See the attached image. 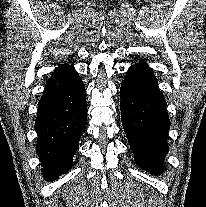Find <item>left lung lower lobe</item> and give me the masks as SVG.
<instances>
[{
    "label": "left lung lower lobe",
    "mask_w": 206,
    "mask_h": 207,
    "mask_svg": "<svg viewBox=\"0 0 206 207\" xmlns=\"http://www.w3.org/2000/svg\"><path fill=\"white\" fill-rule=\"evenodd\" d=\"M121 121L136 163L153 174L163 171L170 121L166 101L144 62L131 66L121 85Z\"/></svg>",
    "instance_id": "left-lung-lower-lobe-1"
}]
</instances>
